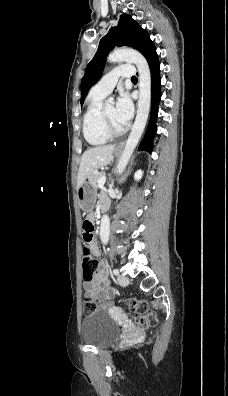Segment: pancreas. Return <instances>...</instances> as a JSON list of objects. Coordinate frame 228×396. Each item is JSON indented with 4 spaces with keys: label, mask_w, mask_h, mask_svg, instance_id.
Masks as SVG:
<instances>
[{
    "label": "pancreas",
    "mask_w": 228,
    "mask_h": 396,
    "mask_svg": "<svg viewBox=\"0 0 228 396\" xmlns=\"http://www.w3.org/2000/svg\"><path fill=\"white\" fill-rule=\"evenodd\" d=\"M104 175V172H98V173H93L90 177H89V182L90 184L97 188L98 187V182L100 180V178Z\"/></svg>",
    "instance_id": "1"
}]
</instances>
